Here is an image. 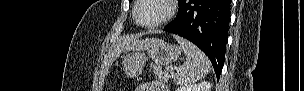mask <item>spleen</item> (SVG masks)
<instances>
[{"label":"spleen","instance_id":"obj_1","mask_svg":"<svg viewBox=\"0 0 304 91\" xmlns=\"http://www.w3.org/2000/svg\"><path fill=\"white\" fill-rule=\"evenodd\" d=\"M175 39L187 58L177 69L174 82L177 85H188L204 78L211 70L209 59L191 42L178 36H176Z\"/></svg>","mask_w":304,"mask_h":91}]
</instances>
